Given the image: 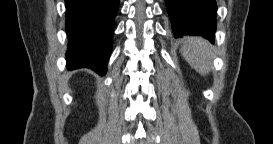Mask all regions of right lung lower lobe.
I'll return each instance as SVG.
<instances>
[{
  "label": "right lung lower lobe",
  "instance_id": "obj_1",
  "mask_svg": "<svg viewBox=\"0 0 273 144\" xmlns=\"http://www.w3.org/2000/svg\"><path fill=\"white\" fill-rule=\"evenodd\" d=\"M118 4L119 0H65L69 69L106 73Z\"/></svg>",
  "mask_w": 273,
  "mask_h": 144
}]
</instances>
